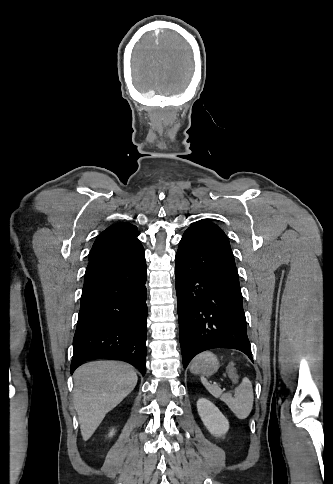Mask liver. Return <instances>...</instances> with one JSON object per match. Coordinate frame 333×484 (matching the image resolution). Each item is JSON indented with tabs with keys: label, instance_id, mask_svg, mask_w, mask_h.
<instances>
[{
	"label": "liver",
	"instance_id": "1",
	"mask_svg": "<svg viewBox=\"0 0 333 484\" xmlns=\"http://www.w3.org/2000/svg\"><path fill=\"white\" fill-rule=\"evenodd\" d=\"M73 377L74 406L83 440L87 441L105 415L133 391L137 375L125 363L95 361L80 366Z\"/></svg>",
	"mask_w": 333,
	"mask_h": 484
}]
</instances>
